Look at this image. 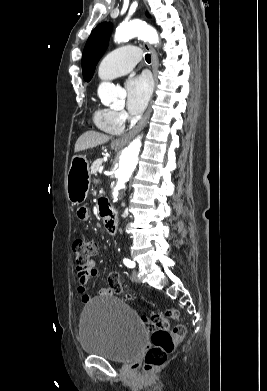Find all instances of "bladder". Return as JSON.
I'll use <instances>...</instances> for the list:
<instances>
[{
  "label": "bladder",
  "instance_id": "1",
  "mask_svg": "<svg viewBox=\"0 0 267 391\" xmlns=\"http://www.w3.org/2000/svg\"><path fill=\"white\" fill-rule=\"evenodd\" d=\"M79 339L84 353L125 363L140 354L146 331L129 305L109 296L94 300L84 308Z\"/></svg>",
  "mask_w": 267,
  "mask_h": 391
}]
</instances>
